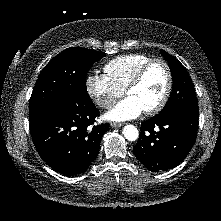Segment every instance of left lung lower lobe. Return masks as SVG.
<instances>
[{"label": "left lung lower lobe", "instance_id": "left-lung-lower-lobe-1", "mask_svg": "<svg viewBox=\"0 0 221 221\" xmlns=\"http://www.w3.org/2000/svg\"><path fill=\"white\" fill-rule=\"evenodd\" d=\"M198 116L199 113L172 110L142 122L133 148L136 158L153 172L179 165L195 143Z\"/></svg>", "mask_w": 221, "mask_h": 221}]
</instances>
